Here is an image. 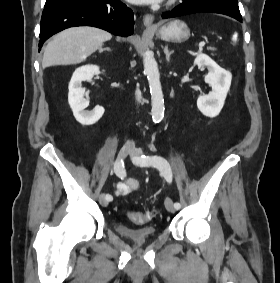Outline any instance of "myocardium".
Returning a JSON list of instances; mask_svg holds the SVG:
<instances>
[{"mask_svg": "<svg viewBox=\"0 0 280 283\" xmlns=\"http://www.w3.org/2000/svg\"><path fill=\"white\" fill-rule=\"evenodd\" d=\"M177 0H169V5H172L176 2Z\"/></svg>", "mask_w": 280, "mask_h": 283, "instance_id": "1", "label": "myocardium"}]
</instances>
